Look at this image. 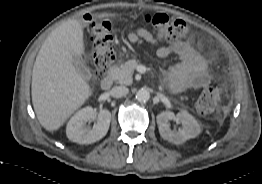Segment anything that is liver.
I'll return each instance as SVG.
<instances>
[{
    "mask_svg": "<svg viewBox=\"0 0 262 184\" xmlns=\"http://www.w3.org/2000/svg\"><path fill=\"white\" fill-rule=\"evenodd\" d=\"M112 16L101 13L97 18ZM84 53L83 29L76 19L65 21L46 38L32 71V103L39 123L58 130L92 95L73 62Z\"/></svg>",
    "mask_w": 262,
    "mask_h": 184,
    "instance_id": "liver-1",
    "label": "liver"
}]
</instances>
